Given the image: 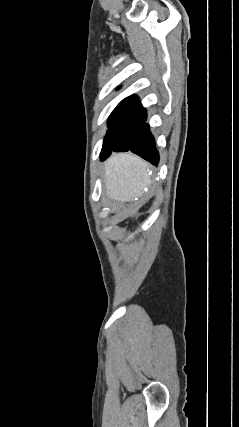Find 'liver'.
<instances>
[{
	"label": "liver",
	"instance_id": "1",
	"mask_svg": "<svg viewBox=\"0 0 239 427\" xmlns=\"http://www.w3.org/2000/svg\"><path fill=\"white\" fill-rule=\"evenodd\" d=\"M147 168L145 161L131 153L112 156L104 169L108 197L119 202H133L142 197L150 184Z\"/></svg>",
	"mask_w": 239,
	"mask_h": 427
}]
</instances>
